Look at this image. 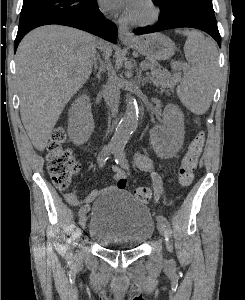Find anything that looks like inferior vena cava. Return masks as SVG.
I'll use <instances>...</instances> for the list:
<instances>
[{
    "instance_id": "602c4592",
    "label": "inferior vena cava",
    "mask_w": 245,
    "mask_h": 300,
    "mask_svg": "<svg viewBox=\"0 0 245 300\" xmlns=\"http://www.w3.org/2000/svg\"><path fill=\"white\" fill-rule=\"evenodd\" d=\"M94 65L96 67V59L94 58ZM108 71V81L105 89V96L107 100V105L111 111L112 117H116L119 108L120 100V90L117 85V78L115 71L113 70L111 64L108 62V59H105V63H102Z\"/></svg>"
}]
</instances>
